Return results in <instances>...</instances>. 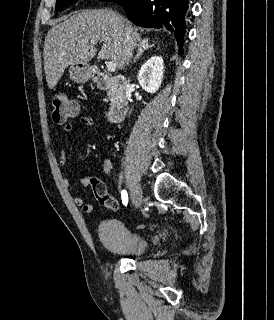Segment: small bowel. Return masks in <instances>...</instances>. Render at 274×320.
I'll list each match as a JSON object with an SVG mask.
<instances>
[{"instance_id":"1","label":"small bowel","mask_w":274,"mask_h":320,"mask_svg":"<svg viewBox=\"0 0 274 320\" xmlns=\"http://www.w3.org/2000/svg\"><path fill=\"white\" fill-rule=\"evenodd\" d=\"M76 110L78 112L79 108L76 106ZM93 120L90 117L87 116H81L78 118L77 123L74 124H69L67 127H65V132L66 133H71L75 129H80V128H87L92 126ZM68 161V153H67V148H66V143L63 142L59 151V165L61 168H64L67 164ZM102 172L104 175H110L112 172V161L110 159H105L102 165ZM93 178H96L95 176H86L84 177L80 185L83 187H88L91 184V180ZM63 185L67 189H71L73 187V184L69 178L68 175L64 174L63 175ZM74 203L75 205L81 207V210L85 214H91L94 210V207L90 203H85V200L82 196L78 195L74 197Z\"/></svg>"}]
</instances>
